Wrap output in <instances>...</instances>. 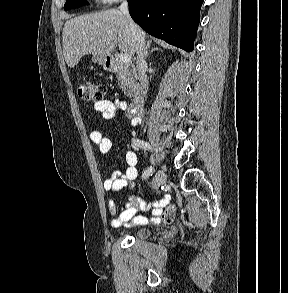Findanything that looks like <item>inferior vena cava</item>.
Wrapping results in <instances>:
<instances>
[{"label": "inferior vena cava", "instance_id": "inferior-vena-cava-1", "mask_svg": "<svg viewBox=\"0 0 288 293\" xmlns=\"http://www.w3.org/2000/svg\"><path fill=\"white\" fill-rule=\"evenodd\" d=\"M119 11L126 18L128 25L130 27V30L132 32V35L134 37L135 48L137 53L136 67L138 71V78L142 88L147 89L148 88V78L146 75L147 63L144 58L145 45H144V39L142 37L141 29L134 23V21L130 17L127 0L122 1Z\"/></svg>", "mask_w": 288, "mask_h": 293}]
</instances>
